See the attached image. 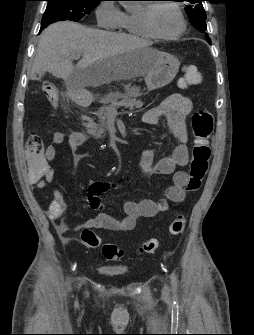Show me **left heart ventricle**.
<instances>
[{
    "label": "left heart ventricle",
    "mask_w": 254,
    "mask_h": 335,
    "mask_svg": "<svg viewBox=\"0 0 254 335\" xmlns=\"http://www.w3.org/2000/svg\"><path fill=\"white\" fill-rule=\"evenodd\" d=\"M153 21L156 29L162 34H173L180 28V19L176 11L167 5L156 8Z\"/></svg>",
    "instance_id": "left-heart-ventricle-1"
}]
</instances>
